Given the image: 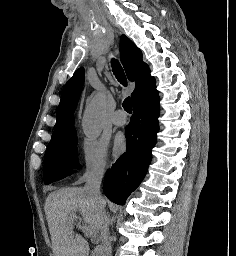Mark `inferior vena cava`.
<instances>
[{"label":"inferior vena cava","mask_w":236,"mask_h":256,"mask_svg":"<svg viewBox=\"0 0 236 256\" xmlns=\"http://www.w3.org/2000/svg\"><path fill=\"white\" fill-rule=\"evenodd\" d=\"M104 176V166H94L87 174V182L83 188L90 200H94L100 208V212H104L105 202L101 198L100 186ZM102 238V256H112V248L110 242V234L108 228V220L105 216L104 224L100 230Z\"/></svg>","instance_id":"1"}]
</instances>
